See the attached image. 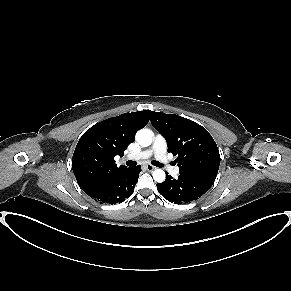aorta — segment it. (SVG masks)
<instances>
[{
    "label": "aorta",
    "instance_id": "762f6f07",
    "mask_svg": "<svg viewBox=\"0 0 291 291\" xmlns=\"http://www.w3.org/2000/svg\"><path fill=\"white\" fill-rule=\"evenodd\" d=\"M137 142L143 146L147 147L152 143L151 131L148 129H141L136 133ZM153 178L155 181L161 183L165 180V172L161 169H156L153 171Z\"/></svg>",
    "mask_w": 291,
    "mask_h": 291
}]
</instances>
